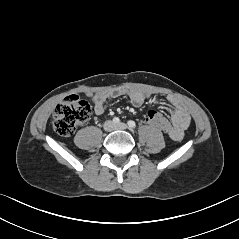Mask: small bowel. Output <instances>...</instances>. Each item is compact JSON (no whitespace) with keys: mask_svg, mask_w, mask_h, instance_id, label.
<instances>
[{"mask_svg":"<svg viewBox=\"0 0 239 239\" xmlns=\"http://www.w3.org/2000/svg\"><path fill=\"white\" fill-rule=\"evenodd\" d=\"M122 93L123 92L121 90H111L95 94V114L101 116L105 112V103L107 100L116 98ZM126 93L135 106L142 105L149 98V94L139 89H130L126 91ZM168 99L171 104V124L166 131L162 132L166 133L172 140L180 141L184 136L185 130L190 124V115L178 99L175 97H169Z\"/></svg>","mask_w":239,"mask_h":239,"instance_id":"small-bowel-1","label":"small bowel"}]
</instances>
